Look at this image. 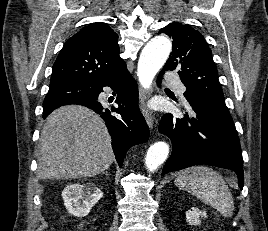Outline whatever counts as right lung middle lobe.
Wrapping results in <instances>:
<instances>
[{"instance_id": "right-lung-middle-lobe-1", "label": "right lung middle lobe", "mask_w": 268, "mask_h": 231, "mask_svg": "<svg viewBox=\"0 0 268 231\" xmlns=\"http://www.w3.org/2000/svg\"><path fill=\"white\" fill-rule=\"evenodd\" d=\"M91 95V89L88 86L74 83H60L49 86V91L43 103L52 101H71L87 98Z\"/></svg>"}]
</instances>
